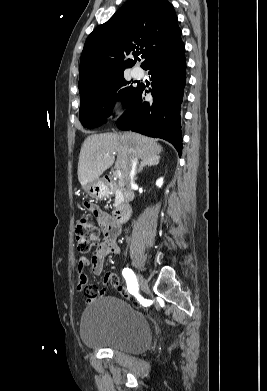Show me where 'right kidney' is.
I'll return each mask as SVG.
<instances>
[{
	"label": "right kidney",
	"mask_w": 267,
	"mask_h": 391,
	"mask_svg": "<svg viewBox=\"0 0 267 391\" xmlns=\"http://www.w3.org/2000/svg\"><path fill=\"white\" fill-rule=\"evenodd\" d=\"M163 184V178H160L156 181V186H158L159 188L162 186Z\"/></svg>",
	"instance_id": "obj_1"
}]
</instances>
